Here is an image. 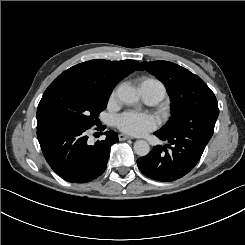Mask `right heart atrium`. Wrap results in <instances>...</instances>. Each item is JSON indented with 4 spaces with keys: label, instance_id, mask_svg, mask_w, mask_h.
I'll use <instances>...</instances> for the list:
<instances>
[{
    "label": "right heart atrium",
    "instance_id": "1",
    "mask_svg": "<svg viewBox=\"0 0 245 245\" xmlns=\"http://www.w3.org/2000/svg\"><path fill=\"white\" fill-rule=\"evenodd\" d=\"M115 93H116V91H113L111 96L114 97L115 96Z\"/></svg>",
    "mask_w": 245,
    "mask_h": 245
}]
</instances>
